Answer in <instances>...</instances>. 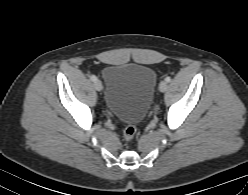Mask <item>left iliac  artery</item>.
<instances>
[{
  "instance_id": "obj_1",
  "label": "left iliac artery",
  "mask_w": 248,
  "mask_h": 195,
  "mask_svg": "<svg viewBox=\"0 0 248 195\" xmlns=\"http://www.w3.org/2000/svg\"><path fill=\"white\" fill-rule=\"evenodd\" d=\"M165 81H166V82H170V81H171V78H170V77H166V78H165Z\"/></svg>"
}]
</instances>
